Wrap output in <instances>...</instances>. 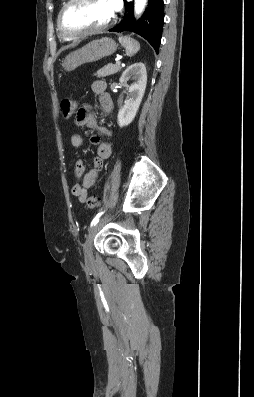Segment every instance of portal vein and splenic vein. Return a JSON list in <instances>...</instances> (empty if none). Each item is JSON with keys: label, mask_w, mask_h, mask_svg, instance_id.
Here are the masks:
<instances>
[{"label": "portal vein and splenic vein", "mask_w": 254, "mask_h": 397, "mask_svg": "<svg viewBox=\"0 0 254 397\" xmlns=\"http://www.w3.org/2000/svg\"><path fill=\"white\" fill-rule=\"evenodd\" d=\"M121 62L119 60H116V65L120 66Z\"/></svg>", "instance_id": "portal-vein-and-splenic-vein-1"}]
</instances>
